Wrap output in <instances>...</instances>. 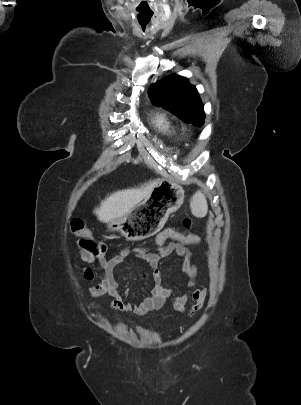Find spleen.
<instances>
[{"label":"spleen","mask_w":301,"mask_h":405,"mask_svg":"<svg viewBox=\"0 0 301 405\" xmlns=\"http://www.w3.org/2000/svg\"><path fill=\"white\" fill-rule=\"evenodd\" d=\"M191 212L196 217H204L207 214L208 205L204 194L198 191L194 194L191 200Z\"/></svg>","instance_id":"1"}]
</instances>
